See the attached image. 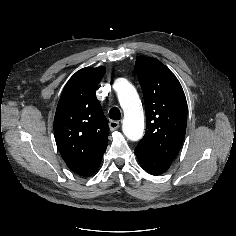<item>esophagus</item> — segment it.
<instances>
[{
	"instance_id": "1",
	"label": "esophagus",
	"mask_w": 236,
	"mask_h": 236,
	"mask_svg": "<svg viewBox=\"0 0 236 236\" xmlns=\"http://www.w3.org/2000/svg\"><path fill=\"white\" fill-rule=\"evenodd\" d=\"M119 126H120L119 121L112 120L109 122V127L111 130H116L117 128H119Z\"/></svg>"
}]
</instances>
